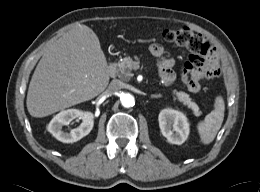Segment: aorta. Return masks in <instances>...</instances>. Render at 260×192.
<instances>
[{
  "label": "aorta",
  "instance_id": "762f6f07",
  "mask_svg": "<svg viewBox=\"0 0 260 192\" xmlns=\"http://www.w3.org/2000/svg\"><path fill=\"white\" fill-rule=\"evenodd\" d=\"M120 100H121L122 106L125 107V108H130V107H133L135 105V99L129 93L123 94L121 96Z\"/></svg>",
  "mask_w": 260,
  "mask_h": 192
}]
</instances>
